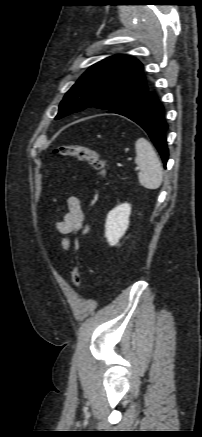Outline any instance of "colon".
<instances>
[{
    "label": "colon",
    "mask_w": 202,
    "mask_h": 437,
    "mask_svg": "<svg viewBox=\"0 0 202 437\" xmlns=\"http://www.w3.org/2000/svg\"><path fill=\"white\" fill-rule=\"evenodd\" d=\"M55 155L75 157L80 161L90 164L101 178L106 177V164L102 157L89 148L79 145H61L54 149ZM82 280L81 268L75 264L71 272V281L75 287H79Z\"/></svg>",
    "instance_id": "1"
}]
</instances>
